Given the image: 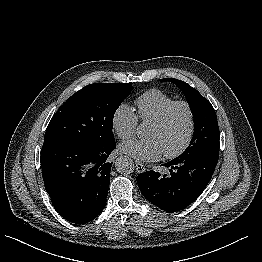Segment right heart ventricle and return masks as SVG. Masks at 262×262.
<instances>
[{
	"mask_svg": "<svg viewBox=\"0 0 262 262\" xmlns=\"http://www.w3.org/2000/svg\"><path fill=\"white\" fill-rule=\"evenodd\" d=\"M175 99L159 89H150L139 95L135 101V111L142 122H152Z\"/></svg>",
	"mask_w": 262,
	"mask_h": 262,
	"instance_id": "1",
	"label": "right heart ventricle"
}]
</instances>
